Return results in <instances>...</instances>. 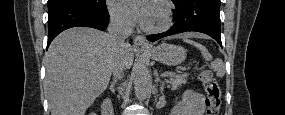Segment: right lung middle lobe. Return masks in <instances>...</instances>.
<instances>
[{
    "label": "right lung middle lobe",
    "mask_w": 285,
    "mask_h": 115,
    "mask_svg": "<svg viewBox=\"0 0 285 115\" xmlns=\"http://www.w3.org/2000/svg\"><path fill=\"white\" fill-rule=\"evenodd\" d=\"M82 4L94 8L105 7V0H48V11L65 4Z\"/></svg>",
    "instance_id": "1"
}]
</instances>
